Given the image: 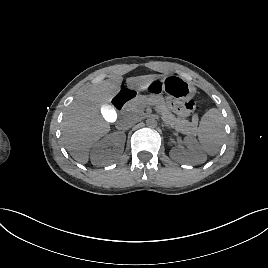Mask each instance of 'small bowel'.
I'll return each instance as SVG.
<instances>
[{"label": "small bowel", "mask_w": 268, "mask_h": 268, "mask_svg": "<svg viewBox=\"0 0 268 268\" xmlns=\"http://www.w3.org/2000/svg\"><path fill=\"white\" fill-rule=\"evenodd\" d=\"M172 109L181 117H188L193 111V102L185 104L171 103Z\"/></svg>", "instance_id": "small-bowel-1"}]
</instances>
